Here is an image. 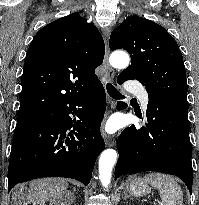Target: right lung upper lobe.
Returning <instances> with one entry per match:
<instances>
[{
    "label": "right lung upper lobe",
    "mask_w": 199,
    "mask_h": 205,
    "mask_svg": "<svg viewBox=\"0 0 199 205\" xmlns=\"http://www.w3.org/2000/svg\"><path fill=\"white\" fill-rule=\"evenodd\" d=\"M104 53L98 29L79 13L43 27L26 53L17 118L45 115L92 91L100 84L94 70Z\"/></svg>",
    "instance_id": "obj_1"
}]
</instances>
